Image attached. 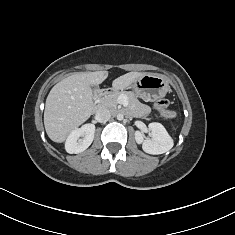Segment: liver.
Returning a JSON list of instances; mask_svg holds the SVG:
<instances>
[{
    "label": "liver",
    "mask_w": 235,
    "mask_h": 235,
    "mask_svg": "<svg viewBox=\"0 0 235 235\" xmlns=\"http://www.w3.org/2000/svg\"><path fill=\"white\" fill-rule=\"evenodd\" d=\"M145 75L129 72L116 78L112 87L123 90ZM108 71L74 73L58 82L49 92L44 111V126L48 137L62 143L68 135L83 124L94 109L92 85L101 84Z\"/></svg>",
    "instance_id": "1"
}]
</instances>
